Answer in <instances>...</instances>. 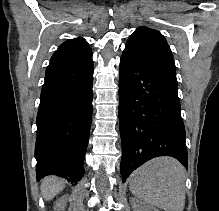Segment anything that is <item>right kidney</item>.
<instances>
[{"mask_svg": "<svg viewBox=\"0 0 219 211\" xmlns=\"http://www.w3.org/2000/svg\"><path fill=\"white\" fill-rule=\"evenodd\" d=\"M66 205V197L65 195H62V197H59V199H56L53 207L55 211H64Z\"/></svg>", "mask_w": 219, "mask_h": 211, "instance_id": "right-kidney-1", "label": "right kidney"}]
</instances>
